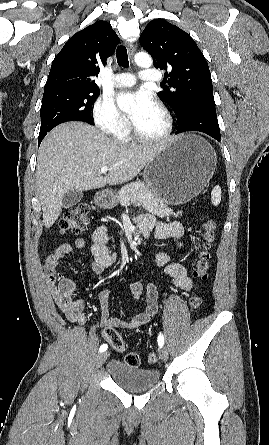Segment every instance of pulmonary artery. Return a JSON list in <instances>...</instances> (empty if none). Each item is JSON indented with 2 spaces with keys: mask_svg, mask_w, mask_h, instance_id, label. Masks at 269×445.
<instances>
[{
  "mask_svg": "<svg viewBox=\"0 0 269 445\" xmlns=\"http://www.w3.org/2000/svg\"><path fill=\"white\" fill-rule=\"evenodd\" d=\"M140 79L145 82H156L162 79V75L156 70L144 69L140 73ZM135 81L136 79L131 73H120L113 79L114 84L119 87L132 86Z\"/></svg>",
  "mask_w": 269,
  "mask_h": 445,
  "instance_id": "pulmonary-artery-1",
  "label": "pulmonary artery"
}]
</instances>
